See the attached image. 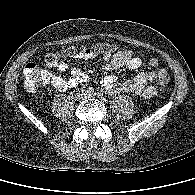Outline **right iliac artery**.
Returning a JSON list of instances; mask_svg holds the SVG:
<instances>
[{
    "label": "right iliac artery",
    "instance_id": "obj_1",
    "mask_svg": "<svg viewBox=\"0 0 195 195\" xmlns=\"http://www.w3.org/2000/svg\"><path fill=\"white\" fill-rule=\"evenodd\" d=\"M87 92H88V93H92V92H94V89H93L92 87H89V88L87 89Z\"/></svg>",
    "mask_w": 195,
    "mask_h": 195
}]
</instances>
